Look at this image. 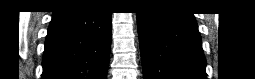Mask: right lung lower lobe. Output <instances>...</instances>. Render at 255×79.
I'll list each match as a JSON object with an SVG mask.
<instances>
[{
  "label": "right lung lower lobe",
  "instance_id": "98d812e1",
  "mask_svg": "<svg viewBox=\"0 0 255 79\" xmlns=\"http://www.w3.org/2000/svg\"><path fill=\"white\" fill-rule=\"evenodd\" d=\"M110 44L111 12L62 7L48 29L42 79H106Z\"/></svg>",
  "mask_w": 255,
  "mask_h": 79
}]
</instances>
